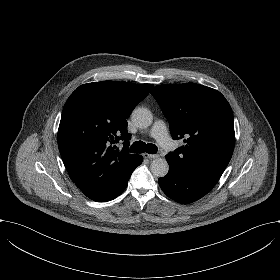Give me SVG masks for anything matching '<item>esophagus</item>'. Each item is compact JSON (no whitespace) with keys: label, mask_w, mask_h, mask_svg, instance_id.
<instances>
[{"label":"esophagus","mask_w":280,"mask_h":280,"mask_svg":"<svg viewBox=\"0 0 280 280\" xmlns=\"http://www.w3.org/2000/svg\"><path fill=\"white\" fill-rule=\"evenodd\" d=\"M143 157H144L145 159H150V160H152V159L158 158L159 155H158V154H148V153H144V154H143Z\"/></svg>","instance_id":"esophagus-1"}]
</instances>
